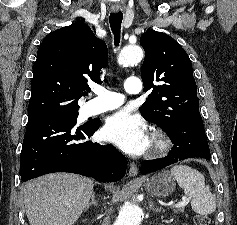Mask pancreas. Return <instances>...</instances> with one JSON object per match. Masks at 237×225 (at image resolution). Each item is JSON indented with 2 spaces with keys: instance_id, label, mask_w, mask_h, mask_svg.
<instances>
[{
  "instance_id": "cf45deb5",
  "label": "pancreas",
  "mask_w": 237,
  "mask_h": 225,
  "mask_svg": "<svg viewBox=\"0 0 237 225\" xmlns=\"http://www.w3.org/2000/svg\"><path fill=\"white\" fill-rule=\"evenodd\" d=\"M176 212H181V213H183V212H184V207L179 208Z\"/></svg>"
}]
</instances>
